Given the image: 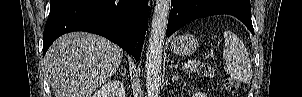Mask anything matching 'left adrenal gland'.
<instances>
[{"mask_svg":"<svg viewBox=\"0 0 302 97\" xmlns=\"http://www.w3.org/2000/svg\"><path fill=\"white\" fill-rule=\"evenodd\" d=\"M171 71H172V74H173V76H172V81H173V82H174V81H177L178 79H180L179 75H178L177 73L174 72V69H173V68L171 69Z\"/></svg>","mask_w":302,"mask_h":97,"instance_id":"left-adrenal-gland-1","label":"left adrenal gland"}]
</instances>
